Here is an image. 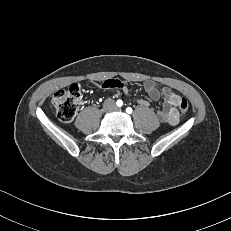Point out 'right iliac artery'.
<instances>
[{
  "label": "right iliac artery",
  "instance_id": "obj_1",
  "mask_svg": "<svg viewBox=\"0 0 231 231\" xmlns=\"http://www.w3.org/2000/svg\"><path fill=\"white\" fill-rule=\"evenodd\" d=\"M116 104H117V106L121 107V106L123 105V102H122V100H118V101L116 102Z\"/></svg>",
  "mask_w": 231,
  "mask_h": 231
}]
</instances>
